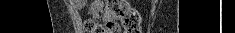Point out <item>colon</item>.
<instances>
[{"label":"colon","instance_id":"colon-1","mask_svg":"<svg viewBox=\"0 0 235 33\" xmlns=\"http://www.w3.org/2000/svg\"><path fill=\"white\" fill-rule=\"evenodd\" d=\"M124 33H141V19L137 10L123 0H109L103 11V21L87 20V33H119L120 26Z\"/></svg>","mask_w":235,"mask_h":33}]
</instances>
